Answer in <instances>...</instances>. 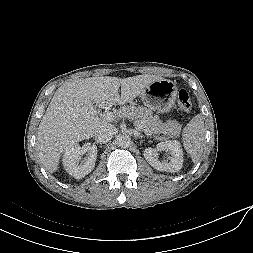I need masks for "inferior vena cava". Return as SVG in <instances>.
<instances>
[{
	"label": "inferior vena cava",
	"mask_w": 253,
	"mask_h": 253,
	"mask_svg": "<svg viewBox=\"0 0 253 253\" xmlns=\"http://www.w3.org/2000/svg\"><path fill=\"white\" fill-rule=\"evenodd\" d=\"M116 134V127L111 124L102 125L95 134L96 142L107 143Z\"/></svg>",
	"instance_id": "1"
}]
</instances>
